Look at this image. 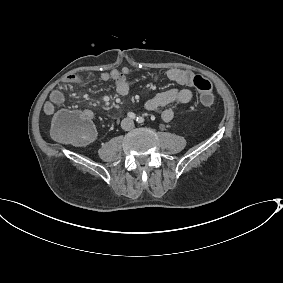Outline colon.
I'll list each match as a JSON object with an SVG mask.
<instances>
[{"label":"colon","mask_w":283,"mask_h":283,"mask_svg":"<svg viewBox=\"0 0 283 283\" xmlns=\"http://www.w3.org/2000/svg\"><path fill=\"white\" fill-rule=\"evenodd\" d=\"M194 87L199 92V100L203 106L209 107L214 101L212 84L201 75H195ZM54 137L74 145H85L95 137V129L91 119L83 112L62 110L54 114L51 122Z\"/></svg>","instance_id":"colon-1"}]
</instances>
